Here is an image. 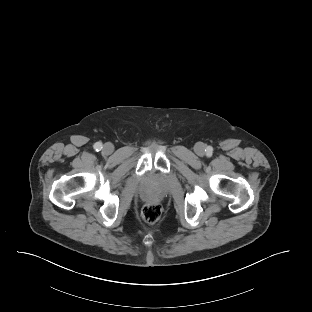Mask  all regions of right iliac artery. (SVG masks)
Wrapping results in <instances>:
<instances>
[{
    "mask_svg": "<svg viewBox=\"0 0 312 312\" xmlns=\"http://www.w3.org/2000/svg\"><path fill=\"white\" fill-rule=\"evenodd\" d=\"M102 143L101 142H97V143H95L94 144V149L96 150V151H100L101 149H102Z\"/></svg>",
    "mask_w": 312,
    "mask_h": 312,
    "instance_id": "1",
    "label": "right iliac artery"
}]
</instances>
